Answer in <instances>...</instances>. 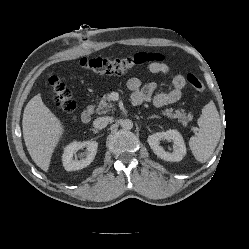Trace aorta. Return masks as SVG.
Listing matches in <instances>:
<instances>
[{
    "mask_svg": "<svg viewBox=\"0 0 249 249\" xmlns=\"http://www.w3.org/2000/svg\"><path fill=\"white\" fill-rule=\"evenodd\" d=\"M121 127L125 130H130L133 128V122L130 119H125L121 122Z\"/></svg>",
    "mask_w": 249,
    "mask_h": 249,
    "instance_id": "1",
    "label": "aorta"
}]
</instances>
